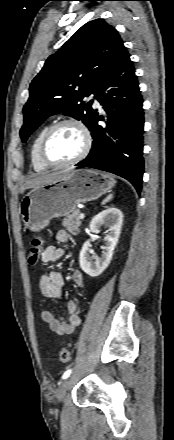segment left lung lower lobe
<instances>
[{"instance_id": "0a47b994", "label": "left lung lower lobe", "mask_w": 174, "mask_h": 440, "mask_svg": "<svg viewBox=\"0 0 174 440\" xmlns=\"http://www.w3.org/2000/svg\"><path fill=\"white\" fill-rule=\"evenodd\" d=\"M130 55L126 48L111 66L96 99L106 112L97 110L88 125L93 137L90 154L76 166L91 167L130 181L140 194L143 160V99ZM105 125H98V121Z\"/></svg>"}]
</instances>
